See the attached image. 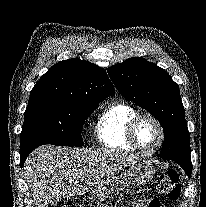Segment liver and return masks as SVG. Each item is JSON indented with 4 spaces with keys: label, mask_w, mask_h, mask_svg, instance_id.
Segmentation results:
<instances>
[{
    "label": "liver",
    "mask_w": 206,
    "mask_h": 207,
    "mask_svg": "<svg viewBox=\"0 0 206 207\" xmlns=\"http://www.w3.org/2000/svg\"><path fill=\"white\" fill-rule=\"evenodd\" d=\"M137 159L136 155L113 150L43 145L25 161L24 179L33 197V207H46L87 192L93 198H101L104 184Z\"/></svg>",
    "instance_id": "6515ba94"
}]
</instances>
